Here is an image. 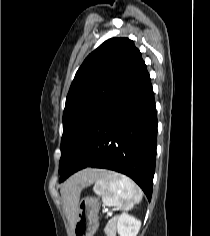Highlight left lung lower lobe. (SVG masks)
Listing matches in <instances>:
<instances>
[{
  "label": "left lung lower lobe",
  "mask_w": 210,
  "mask_h": 236,
  "mask_svg": "<svg viewBox=\"0 0 210 236\" xmlns=\"http://www.w3.org/2000/svg\"><path fill=\"white\" fill-rule=\"evenodd\" d=\"M157 116L147 69L131 81L86 130L60 182L86 167L111 169L131 177L152 196Z\"/></svg>",
  "instance_id": "1"
}]
</instances>
